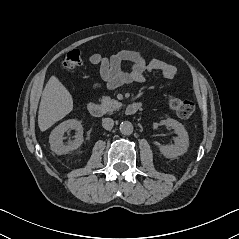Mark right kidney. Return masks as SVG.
I'll use <instances>...</instances> for the list:
<instances>
[{"label":"right kidney","mask_w":239,"mask_h":239,"mask_svg":"<svg viewBox=\"0 0 239 239\" xmlns=\"http://www.w3.org/2000/svg\"><path fill=\"white\" fill-rule=\"evenodd\" d=\"M75 129V140L68 145L63 143V135L66 131ZM50 148L56 154H64L75 150L83 143V127L80 121L69 119L60 123L50 134L49 137Z\"/></svg>","instance_id":"right-kidney-1"}]
</instances>
